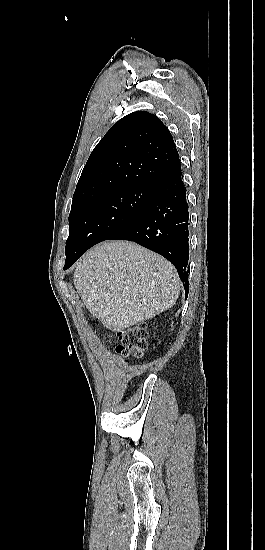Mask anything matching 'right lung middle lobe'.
Wrapping results in <instances>:
<instances>
[{"label": "right lung middle lobe", "mask_w": 265, "mask_h": 550, "mask_svg": "<svg viewBox=\"0 0 265 550\" xmlns=\"http://www.w3.org/2000/svg\"><path fill=\"white\" fill-rule=\"evenodd\" d=\"M156 187L131 186L72 203L65 267H70L93 245L133 222L148 205Z\"/></svg>", "instance_id": "obj_1"}]
</instances>
